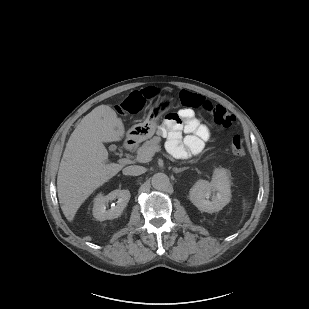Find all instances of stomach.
I'll return each mask as SVG.
<instances>
[{"instance_id": "1", "label": "stomach", "mask_w": 309, "mask_h": 309, "mask_svg": "<svg viewBox=\"0 0 309 309\" xmlns=\"http://www.w3.org/2000/svg\"><path fill=\"white\" fill-rule=\"evenodd\" d=\"M173 105L172 98L161 97L151 108L143 123L131 127L127 135L135 140L142 141L152 137L156 131L157 123L164 113L170 110Z\"/></svg>"}]
</instances>
